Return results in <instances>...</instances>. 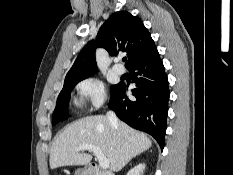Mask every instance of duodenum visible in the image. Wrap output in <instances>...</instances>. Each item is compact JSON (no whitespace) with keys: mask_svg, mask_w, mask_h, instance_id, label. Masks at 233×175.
Instances as JSON below:
<instances>
[{"mask_svg":"<svg viewBox=\"0 0 233 175\" xmlns=\"http://www.w3.org/2000/svg\"><path fill=\"white\" fill-rule=\"evenodd\" d=\"M85 175H108L105 171L99 168L97 165L92 164L85 170Z\"/></svg>","mask_w":233,"mask_h":175,"instance_id":"410a0bca","label":"duodenum"}]
</instances>
